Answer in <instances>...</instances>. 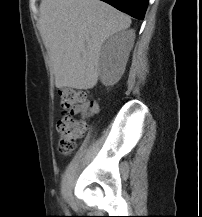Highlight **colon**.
I'll list each match as a JSON object with an SVG mask.
<instances>
[{
    "mask_svg": "<svg viewBox=\"0 0 202 217\" xmlns=\"http://www.w3.org/2000/svg\"><path fill=\"white\" fill-rule=\"evenodd\" d=\"M60 97L64 113L57 122L58 148L61 154L69 155L87 130V122L75 117V109L91 105L92 100L86 92L70 88L62 89Z\"/></svg>",
    "mask_w": 202,
    "mask_h": 217,
    "instance_id": "1",
    "label": "colon"
}]
</instances>
